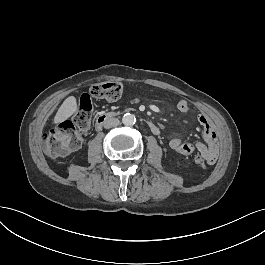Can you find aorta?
<instances>
[{"label": "aorta", "mask_w": 265, "mask_h": 265, "mask_svg": "<svg viewBox=\"0 0 265 265\" xmlns=\"http://www.w3.org/2000/svg\"><path fill=\"white\" fill-rule=\"evenodd\" d=\"M122 122L125 126H133L136 123V117L133 114L126 113L122 118Z\"/></svg>", "instance_id": "1"}]
</instances>
